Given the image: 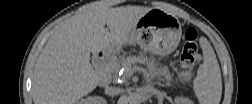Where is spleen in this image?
Returning <instances> with one entry per match:
<instances>
[{
	"label": "spleen",
	"mask_w": 252,
	"mask_h": 104,
	"mask_svg": "<svg viewBox=\"0 0 252 104\" xmlns=\"http://www.w3.org/2000/svg\"><path fill=\"white\" fill-rule=\"evenodd\" d=\"M203 63L193 81V90L201 104H218L222 95V79L215 52L206 38H200Z\"/></svg>",
	"instance_id": "3e777b00"
}]
</instances>
